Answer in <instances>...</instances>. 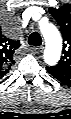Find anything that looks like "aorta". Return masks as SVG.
Returning <instances> with one entry per match:
<instances>
[{
  "instance_id": "762f6f07",
  "label": "aorta",
  "mask_w": 71,
  "mask_h": 119,
  "mask_svg": "<svg viewBox=\"0 0 71 119\" xmlns=\"http://www.w3.org/2000/svg\"><path fill=\"white\" fill-rule=\"evenodd\" d=\"M42 34L45 38L46 49L44 51V61L50 66H54L59 61L62 49V39L57 28L50 23L41 26Z\"/></svg>"
}]
</instances>
